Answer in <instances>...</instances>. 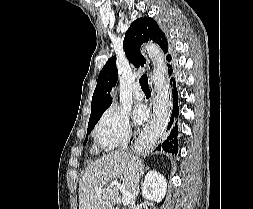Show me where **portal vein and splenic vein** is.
<instances>
[{
	"label": "portal vein and splenic vein",
	"mask_w": 253,
	"mask_h": 209,
	"mask_svg": "<svg viewBox=\"0 0 253 209\" xmlns=\"http://www.w3.org/2000/svg\"><path fill=\"white\" fill-rule=\"evenodd\" d=\"M112 186H115L121 193H122V204L124 206H127L131 203L132 195L130 192H128L125 187L118 182H113L111 184ZM98 193L102 192V189L97 190Z\"/></svg>",
	"instance_id": "obj_1"
}]
</instances>
